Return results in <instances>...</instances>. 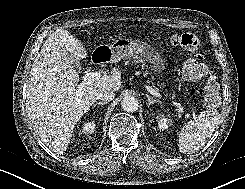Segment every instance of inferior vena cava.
<instances>
[{"mask_svg":"<svg viewBox=\"0 0 245 189\" xmlns=\"http://www.w3.org/2000/svg\"><path fill=\"white\" fill-rule=\"evenodd\" d=\"M115 97V91L112 88H103L99 91L97 95V99L103 101H111Z\"/></svg>","mask_w":245,"mask_h":189,"instance_id":"1","label":"inferior vena cava"}]
</instances>
